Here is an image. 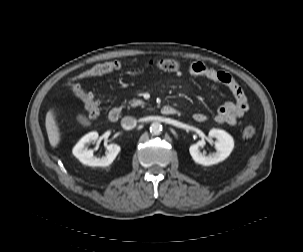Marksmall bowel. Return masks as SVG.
<instances>
[{"label": "small bowel", "instance_id": "c3829d8e", "mask_svg": "<svg viewBox=\"0 0 303 252\" xmlns=\"http://www.w3.org/2000/svg\"><path fill=\"white\" fill-rule=\"evenodd\" d=\"M188 73L193 76L204 77L214 83L222 84L228 88L235 101L227 102L221 105L215 115L214 120L219 123H228L235 125L240 117L246 112V99L240 85L231 78V76L217 72L201 62L192 63L188 67ZM91 118V117H90ZM206 115L202 112H196L193 119L197 122H204Z\"/></svg>", "mask_w": 303, "mask_h": 252}]
</instances>
